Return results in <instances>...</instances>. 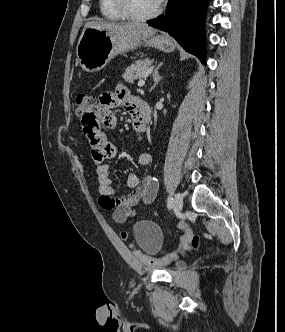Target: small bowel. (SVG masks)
Instances as JSON below:
<instances>
[{"label": "small bowel", "instance_id": "obj_1", "mask_svg": "<svg viewBox=\"0 0 285 332\" xmlns=\"http://www.w3.org/2000/svg\"><path fill=\"white\" fill-rule=\"evenodd\" d=\"M96 102V106L89 107V111H84L83 115L79 116V121L82 122L83 133L90 141L92 157L97 163L99 205L112 213L116 223H124L135 215V208L138 205L150 204L154 201L158 184L150 175L140 180L137 172H131L127 178V186L131 192L127 196L118 197L110 176V165L105 161L117 157L119 150L116 145L106 140L103 133L109 127L115 126L116 119L113 111L110 110L117 107L125 109L131 115L133 128L138 138L141 137L146 126L141 120L137 99L121 84L114 91L97 96ZM151 163V154L146 152L139 154L137 159L139 168L148 167Z\"/></svg>", "mask_w": 285, "mask_h": 332}]
</instances>
